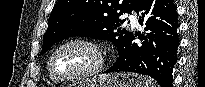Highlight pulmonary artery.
I'll return each mask as SVG.
<instances>
[{"label": "pulmonary artery", "mask_w": 205, "mask_h": 87, "mask_svg": "<svg viewBox=\"0 0 205 87\" xmlns=\"http://www.w3.org/2000/svg\"><path fill=\"white\" fill-rule=\"evenodd\" d=\"M127 18L133 26H138V19L135 15H127Z\"/></svg>", "instance_id": "e3ab8cb5"}]
</instances>
